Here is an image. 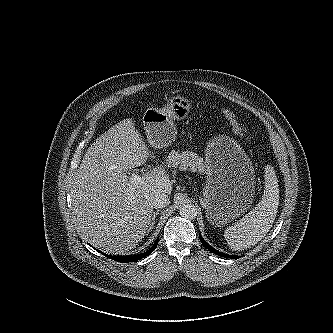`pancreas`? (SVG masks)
Masks as SVG:
<instances>
[{"instance_id":"obj_1","label":"pancreas","mask_w":333,"mask_h":333,"mask_svg":"<svg viewBox=\"0 0 333 333\" xmlns=\"http://www.w3.org/2000/svg\"><path fill=\"white\" fill-rule=\"evenodd\" d=\"M166 161L168 166L178 168L182 171L190 170L192 172L199 171L203 173L207 168L203 158L190 151L172 150Z\"/></svg>"}]
</instances>
